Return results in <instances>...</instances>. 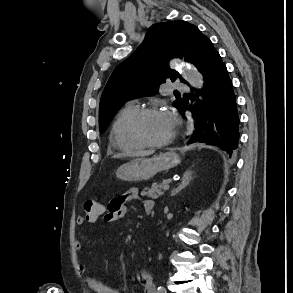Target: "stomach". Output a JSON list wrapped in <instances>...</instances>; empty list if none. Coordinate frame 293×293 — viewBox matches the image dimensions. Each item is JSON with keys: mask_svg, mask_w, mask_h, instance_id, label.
<instances>
[{"mask_svg": "<svg viewBox=\"0 0 293 293\" xmlns=\"http://www.w3.org/2000/svg\"><path fill=\"white\" fill-rule=\"evenodd\" d=\"M181 163V158L176 152H167L152 158H137L120 166L116 175L118 178L129 182L146 181L157 173L169 170Z\"/></svg>", "mask_w": 293, "mask_h": 293, "instance_id": "0dacf381", "label": "stomach"}]
</instances>
